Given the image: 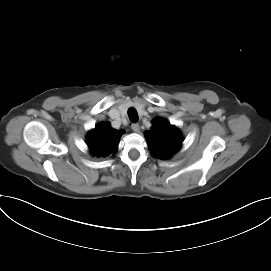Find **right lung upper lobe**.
Segmentation results:
<instances>
[{"mask_svg":"<svg viewBox=\"0 0 271 271\" xmlns=\"http://www.w3.org/2000/svg\"><path fill=\"white\" fill-rule=\"evenodd\" d=\"M110 127L109 123H100L87 135V145L93 155L108 156L115 153L121 134Z\"/></svg>","mask_w":271,"mask_h":271,"instance_id":"right-lung-upper-lobe-1","label":"right lung upper lobe"}]
</instances>
